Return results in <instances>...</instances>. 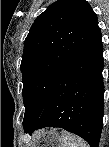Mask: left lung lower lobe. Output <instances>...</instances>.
I'll return each instance as SVG.
<instances>
[{"label": "left lung lower lobe", "mask_w": 109, "mask_h": 147, "mask_svg": "<svg viewBox=\"0 0 109 147\" xmlns=\"http://www.w3.org/2000/svg\"><path fill=\"white\" fill-rule=\"evenodd\" d=\"M103 47L98 29L59 73L47 103L26 133L60 127L98 147L104 112Z\"/></svg>", "instance_id": "obj_1"}]
</instances>
